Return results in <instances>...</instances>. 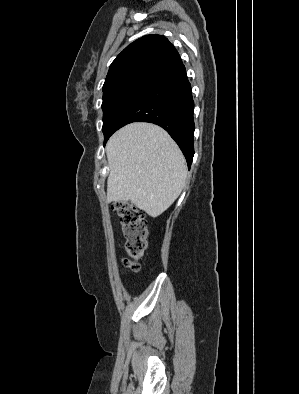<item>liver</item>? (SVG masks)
<instances>
[{"instance_id":"obj_1","label":"liver","mask_w":299,"mask_h":394,"mask_svg":"<svg viewBox=\"0 0 299 394\" xmlns=\"http://www.w3.org/2000/svg\"><path fill=\"white\" fill-rule=\"evenodd\" d=\"M106 154L110 168L107 202L130 200L149 216L157 217L185 186V158L169 134L157 125H126L110 137Z\"/></svg>"}]
</instances>
